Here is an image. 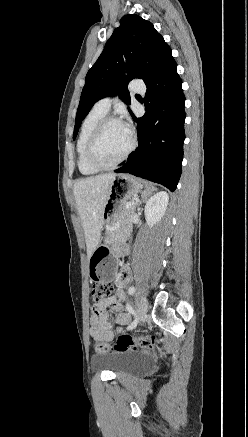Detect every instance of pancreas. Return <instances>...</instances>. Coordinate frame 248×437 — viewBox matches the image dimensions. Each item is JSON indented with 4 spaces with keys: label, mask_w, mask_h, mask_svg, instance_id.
I'll use <instances>...</instances> for the list:
<instances>
[{
    "label": "pancreas",
    "mask_w": 248,
    "mask_h": 437,
    "mask_svg": "<svg viewBox=\"0 0 248 437\" xmlns=\"http://www.w3.org/2000/svg\"><path fill=\"white\" fill-rule=\"evenodd\" d=\"M127 203L128 202H125L122 205V209L118 218V229L113 232V239L115 237L119 238L123 234L125 228L131 225V216L135 212V206L133 205L131 207H127Z\"/></svg>",
    "instance_id": "cf45deb5"
}]
</instances>
